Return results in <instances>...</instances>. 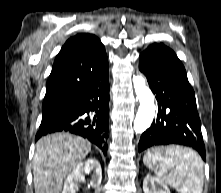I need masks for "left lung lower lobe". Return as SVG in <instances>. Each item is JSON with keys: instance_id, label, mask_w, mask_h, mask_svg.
<instances>
[{"instance_id": "1", "label": "left lung lower lobe", "mask_w": 221, "mask_h": 193, "mask_svg": "<svg viewBox=\"0 0 221 193\" xmlns=\"http://www.w3.org/2000/svg\"><path fill=\"white\" fill-rule=\"evenodd\" d=\"M139 60V69L156 94L158 114L157 119L142 134L138 151L152 146L177 144L192 147L205 160L195 93L183 64L164 44L150 45L141 53ZM173 117L174 125L170 124Z\"/></svg>"}]
</instances>
